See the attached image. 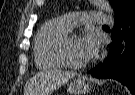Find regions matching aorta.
<instances>
[{"label":"aorta","instance_id":"1","mask_svg":"<svg viewBox=\"0 0 135 95\" xmlns=\"http://www.w3.org/2000/svg\"><path fill=\"white\" fill-rule=\"evenodd\" d=\"M94 2L101 8L105 9L107 12L112 13L113 10L107 0H94Z\"/></svg>","mask_w":135,"mask_h":95}]
</instances>
